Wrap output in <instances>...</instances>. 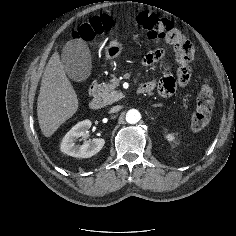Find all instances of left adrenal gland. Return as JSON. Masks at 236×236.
<instances>
[{
  "instance_id": "obj_1",
  "label": "left adrenal gland",
  "mask_w": 236,
  "mask_h": 236,
  "mask_svg": "<svg viewBox=\"0 0 236 236\" xmlns=\"http://www.w3.org/2000/svg\"><path fill=\"white\" fill-rule=\"evenodd\" d=\"M161 106L160 104L155 105V107Z\"/></svg>"
}]
</instances>
